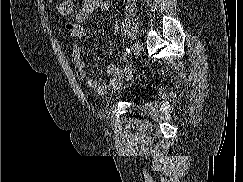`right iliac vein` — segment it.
Masks as SVG:
<instances>
[{
	"label": "right iliac vein",
	"instance_id": "63e3f726",
	"mask_svg": "<svg viewBox=\"0 0 243 182\" xmlns=\"http://www.w3.org/2000/svg\"><path fill=\"white\" fill-rule=\"evenodd\" d=\"M141 50H142V47H141V45L139 43H135L133 45V53H134L135 56L140 55Z\"/></svg>",
	"mask_w": 243,
	"mask_h": 182
}]
</instances>
